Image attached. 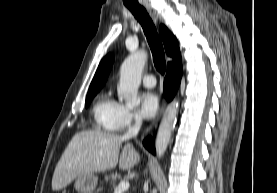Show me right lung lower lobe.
<instances>
[{
    "label": "right lung lower lobe",
    "mask_w": 277,
    "mask_h": 193,
    "mask_svg": "<svg viewBox=\"0 0 277 193\" xmlns=\"http://www.w3.org/2000/svg\"><path fill=\"white\" fill-rule=\"evenodd\" d=\"M181 76L182 60L180 56L167 64V73L164 79L163 95L168 101L172 100L174 95L176 94L181 81ZM143 144L146 147V149L149 150L151 153H156L154 140L152 138L145 139Z\"/></svg>",
    "instance_id": "98d812e1"
}]
</instances>
